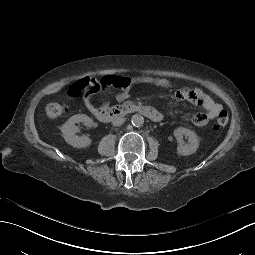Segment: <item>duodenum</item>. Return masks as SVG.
<instances>
[{"instance_id":"410a0bca","label":"duodenum","mask_w":255,"mask_h":255,"mask_svg":"<svg viewBox=\"0 0 255 255\" xmlns=\"http://www.w3.org/2000/svg\"><path fill=\"white\" fill-rule=\"evenodd\" d=\"M91 112L102 122H111L132 113H139L154 122H159L163 119L162 114L155 108L137 104L113 107H94Z\"/></svg>"}]
</instances>
